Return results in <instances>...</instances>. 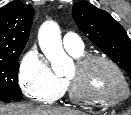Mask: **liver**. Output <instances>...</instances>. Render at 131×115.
<instances>
[{
  "label": "liver",
  "mask_w": 131,
  "mask_h": 115,
  "mask_svg": "<svg viewBox=\"0 0 131 115\" xmlns=\"http://www.w3.org/2000/svg\"><path fill=\"white\" fill-rule=\"evenodd\" d=\"M0 115H86L83 112L64 108L33 106L30 104L0 105Z\"/></svg>",
  "instance_id": "liver-1"
}]
</instances>
